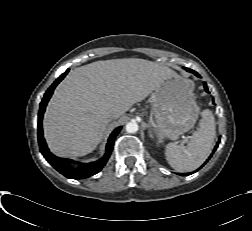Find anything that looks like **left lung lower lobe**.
<instances>
[{
	"label": "left lung lower lobe",
	"instance_id": "1",
	"mask_svg": "<svg viewBox=\"0 0 252 231\" xmlns=\"http://www.w3.org/2000/svg\"><path fill=\"white\" fill-rule=\"evenodd\" d=\"M184 69L187 70L188 72L194 73L196 76L199 77L198 73H196L195 71H193V70H191V69H189V68H184ZM204 88H205L206 92H208L206 83H204ZM217 147H218V143L216 144V146H215V148H214V151L217 149ZM209 158H210V157H209ZM190 174H192V173H188L187 175H190ZM180 175L183 176V174H180Z\"/></svg>",
	"mask_w": 252,
	"mask_h": 231
}]
</instances>
